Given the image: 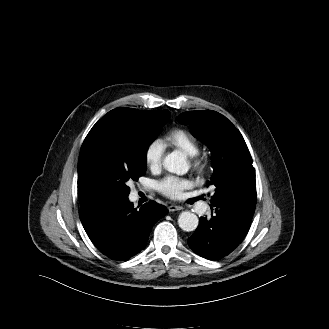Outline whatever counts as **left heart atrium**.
Here are the masks:
<instances>
[{
  "label": "left heart atrium",
  "instance_id": "39dd6f15",
  "mask_svg": "<svg viewBox=\"0 0 329 329\" xmlns=\"http://www.w3.org/2000/svg\"><path fill=\"white\" fill-rule=\"evenodd\" d=\"M191 185V181L186 178L169 175L157 183V188L163 195L171 199H179Z\"/></svg>",
  "mask_w": 329,
  "mask_h": 329
}]
</instances>
